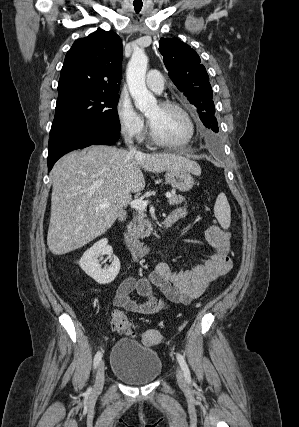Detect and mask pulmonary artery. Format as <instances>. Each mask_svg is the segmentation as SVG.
Wrapping results in <instances>:
<instances>
[{
    "instance_id": "1",
    "label": "pulmonary artery",
    "mask_w": 299,
    "mask_h": 427,
    "mask_svg": "<svg viewBox=\"0 0 299 427\" xmlns=\"http://www.w3.org/2000/svg\"><path fill=\"white\" fill-rule=\"evenodd\" d=\"M146 84L149 89L156 93H161L164 89V79L158 70H150L147 73Z\"/></svg>"
}]
</instances>
